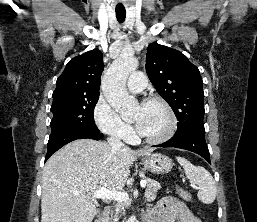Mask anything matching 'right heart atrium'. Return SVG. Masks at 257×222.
I'll list each match as a JSON object with an SVG mask.
<instances>
[{"instance_id": "1", "label": "right heart atrium", "mask_w": 257, "mask_h": 222, "mask_svg": "<svg viewBox=\"0 0 257 222\" xmlns=\"http://www.w3.org/2000/svg\"><path fill=\"white\" fill-rule=\"evenodd\" d=\"M101 111H106L110 115L114 116L117 120V124L108 129L99 122V115ZM93 116L97 127L105 134L118 140L129 141L132 138L133 132L129 124L124 122L115 112V110L109 105L104 97H100L94 107Z\"/></svg>"}]
</instances>
